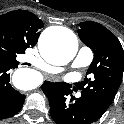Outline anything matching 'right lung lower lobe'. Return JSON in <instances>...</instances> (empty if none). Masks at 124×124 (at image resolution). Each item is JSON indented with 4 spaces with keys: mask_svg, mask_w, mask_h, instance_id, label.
Returning <instances> with one entry per match:
<instances>
[{
    "mask_svg": "<svg viewBox=\"0 0 124 124\" xmlns=\"http://www.w3.org/2000/svg\"><path fill=\"white\" fill-rule=\"evenodd\" d=\"M16 67L17 63L0 61V119L18 113L25 100L10 84V71Z\"/></svg>",
    "mask_w": 124,
    "mask_h": 124,
    "instance_id": "right-lung-lower-lobe-1",
    "label": "right lung lower lobe"
}]
</instances>
